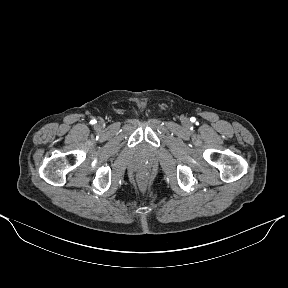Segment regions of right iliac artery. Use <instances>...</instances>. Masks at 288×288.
Here are the masks:
<instances>
[{
	"label": "right iliac artery",
	"instance_id": "1",
	"mask_svg": "<svg viewBox=\"0 0 288 288\" xmlns=\"http://www.w3.org/2000/svg\"><path fill=\"white\" fill-rule=\"evenodd\" d=\"M91 124H96V120L95 119H93V120H91V122H90Z\"/></svg>",
	"mask_w": 288,
	"mask_h": 288
}]
</instances>
